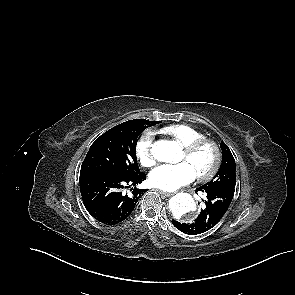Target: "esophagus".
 Here are the masks:
<instances>
[{
	"label": "esophagus",
	"instance_id": "obj_1",
	"mask_svg": "<svg viewBox=\"0 0 295 295\" xmlns=\"http://www.w3.org/2000/svg\"><path fill=\"white\" fill-rule=\"evenodd\" d=\"M157 191H158L161 195H163V196H165V197H170V196L173 195L172 193L165 192V191H163V190H158V189H157Z\"/></svg>",
	"mask_w": 295,
	"mask_h": 295
}]
</instances>
